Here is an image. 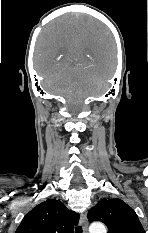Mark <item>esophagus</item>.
I'll return each mask as SVG.
<instances>
[{
  "instance_id": "34e87169",
  "label": "esophagus",
  "mask_w": 148,
  "mask_h": 233,
  "mask_svg": "<svg viewBox=\"0 0 148 233\" xmlns=\"http://www.w3.org/2000/svg\"><path fill=\"white\" fill-rule=\"evenodd\" d=\"M80 221L83 228V233H88V221L85 214H81Z\"/></svg>"
}]
</instances>
